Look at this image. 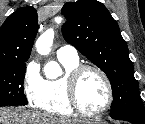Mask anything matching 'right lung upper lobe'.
Wrapping results in <instances>:
<instances>
[{"label":"right lung upper lobe","instance_id":"right-lung-upper-lobe-1","mask_svg":"<svg viewBox=\"0 0 145 124\" xmlns=\"http://www.w3.org/2000/svg\"><path fill=\"white\" fill-rule=\"evenodd\" d=\"M37 30L34 7L20 8L11 14L0 28V63L28 60Z\"/></svg>","mask_w":145,"mask_h":124}]
</instances>
